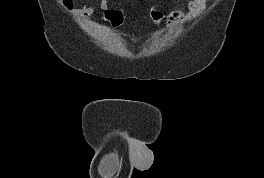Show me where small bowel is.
Listing matches in <instances>:
<instances>
[{
  "label": "small bowel",
  "instance_id": "1",
  "mask_svg": "<svg viewBox=\"0 0 264 178\" xmlns=\"http://www.w3.org/2000/svg\"><path fill=\"white\" fill-rule=\"evenodd\" d=\"M207 1L208 0H188L186 3L177 6L166 14L164 18L165 26L172 29L192 21L205 9ZM69 7L83 17H90L97 8L101 9L104 13L110 8L107 0H99L97 4H85L81 6L70 5Z\"/></svg>",
  "mask_w": 264,
  "mask_h": 178
}]
</instances>
